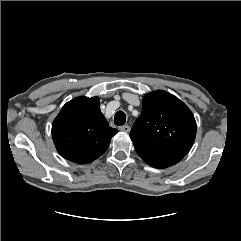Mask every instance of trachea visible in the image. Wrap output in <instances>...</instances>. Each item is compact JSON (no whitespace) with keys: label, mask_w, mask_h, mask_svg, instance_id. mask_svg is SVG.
<instances>
[{"label":"trachea","mask_w":241,"mask_h":241,"mask_svg":"<svg viewBox=\"0 0 241 241\" xmlns=\"http://www.w3.org/2000/svg\"><path fill=\"white\" fill-rule=\"evenodd\" d=\"M126 122V115L123 111H118L114 117V123L116 125H124Z\"/></svg>","instance_id":"obj_1"}]
</instances>
